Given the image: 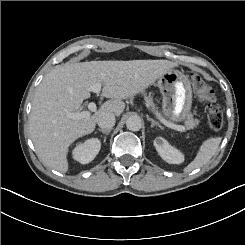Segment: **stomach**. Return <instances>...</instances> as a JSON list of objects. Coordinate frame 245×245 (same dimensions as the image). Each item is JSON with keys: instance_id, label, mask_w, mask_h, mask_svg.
Returning a JSON list of instances; mask_svg holds the SVG:
<instances>
[{"instance_id": "stomach-1", "label": "stomach", "mask_w": 245, "mask_h": 245, "mask_svg": "<svg viewBox=\"0 0 245 245\" xmlns=\"http://www.w3.org/2000/svg\"><path fill=\"white\" fill-rule=\"evenodd\" d=\"M157 86L163 95V114L172 121L180 122L190 115L192 89L186 75L169 69L158 78Z\"/></svg>"}]
</instances>
